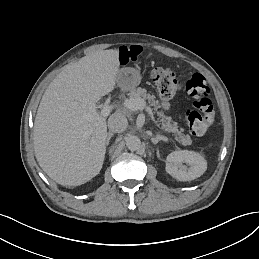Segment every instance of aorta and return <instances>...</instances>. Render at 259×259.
Listing matches in <instances>:
<instances>
[{
	"mask_svg": "<svg viewBox=\"0 0 259 259\" xmlns=\"http://www.w3.org/2000/svg\"><path fill=\"white\" fill-rule=\"evenodd\" d=\"M126 146L131 151H136L141 147V140L137 136H129L126 138Z\"/></svg>",
	"mask_w": 259,
	"mask_h": 259,
	"instance_id": "obj_1",
	"label": "aorta"
}]
</instances>
